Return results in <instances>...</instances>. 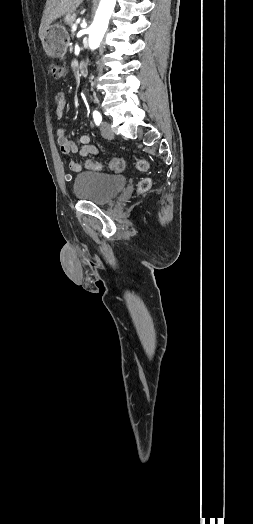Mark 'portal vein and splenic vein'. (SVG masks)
Returning a JSON list of instances; mask_svg holds the SVG:
<instances>
[{
  "mask_svg": "<svg viewBox=\"0 0 253 524\" xmlns=\"http://www.w3.org/2000/svg\"><path fill=\"white\" fill-rule=\"evenodd\" d=\"M76 29H77V24H73V25H72V30L75 31Z\"/></svg>",
  "mask_w": 253,
  "mask_h": 524,
  "instance_id": "1",
  "label": "portal vein and splenic vein"
}]
</instances>
